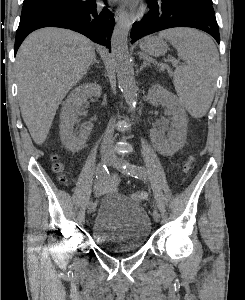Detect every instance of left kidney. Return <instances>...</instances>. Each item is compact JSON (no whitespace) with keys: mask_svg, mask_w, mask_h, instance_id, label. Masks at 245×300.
<instances>
[{"mask_svg":"<svg viewBox=\"0 0 245 300\" xmlns=\"http://www.w3.org/2000/svg\"><path fill=\"white\" fill-rule=\"evenodd\" d=\"M150 104L166 106L173 118V128L161 127L156 132V144L160 150L166 154H173L179 150L186 139L187 115L179 99L171 92L160 85H154L148 91ZM167 132V135L165 134Z\"/></svg>","mask_w":245,"mask_h":300,"instance_id":"left-kidney-1","label":"left kidney"}]
</instances>
